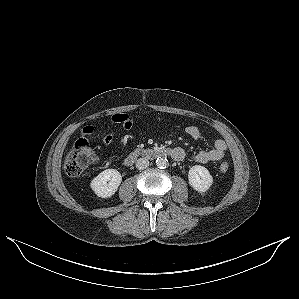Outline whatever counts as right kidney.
<instances>
[{
    "instance_id": "right-kidney-1",
    "label": "right kidney",
    "mask_w": 299,
    "mask_h": 299,
    "mask_svg": "<svg viewBox=\"0 0 299 299\" xmlns=\"http://www.w3.org/2000/svg\"><path fill=\"white\" fill-rule=\"evenodd\" d=\"M121 181L122 176L116 169H106L91 181L90 186L97 196L108 198L115 194Z\"/></svg>"
}]
</instances>
